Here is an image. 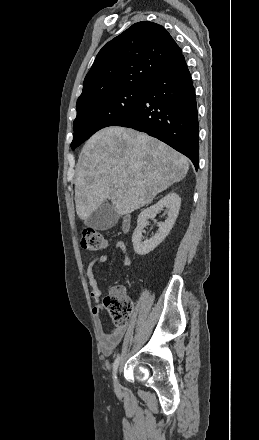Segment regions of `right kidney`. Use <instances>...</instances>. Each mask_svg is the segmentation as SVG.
Wrapping results in <instances>:
<instances>
[{
    "label": "right kidney",
    "instance_id": "obj_1",
    "mask_svg": "<svg viewBox=\"0 0 259 440\" xmlns=\"http://www.w3.org/2000/svg\"><path fill=\"white\" fill-rule=\"evenodd\" d=\"M180 205V196L171 192L155 205L141 211L137 219V227L132 236L133 248L138 255L143 256L150 253L166 238L177 219ZM164 207L168 209V218L159 224V229L153 237L142 242V232L148 224V219L154 218Z\"/></svg>",
    "mask_w": 259,
    "mask_h": 440
}]
</instances>
